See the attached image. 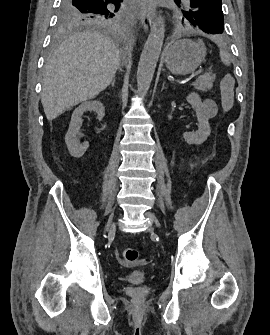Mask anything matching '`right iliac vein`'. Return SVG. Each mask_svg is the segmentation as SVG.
Returning a JSON list of instances; mask_svg holds the SVG:
<instances>
[{"label":"right iliac vein","instance_id":"1","mask_svg":"<svg viewBox=\"0 0 270 335\" xmlns=\"http://www.w3.org/2000/svg\"><path fill=\"white\" fill-rule=\"evenodd\" d=\"M113 214H111V216H110V218H109V220H108V222H107V229H109L110 231H113L114 230V228H115V225H114V222H113V216H112Z\"/></svg>","mask_w":270,"mask_h":335}]
</instances>
